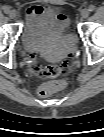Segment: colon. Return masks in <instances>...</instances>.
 <instances>
[{
    "label": "colon",
    "instance_id": "obj_1",
    "mask_svg": "<svg viewBox=\"0 0 104 137\" xmlns=\"http://www.w3.org/2000/svg\"><path fill=\"white\" fill-rule=\"evenodd\" d=\"M32 60L33 70L46 78H54L59 76L70 65L69 59H64L58 64H45L37 60L35 57H33ZM59 88L60 87L57 84H43L38 88V94L42 97H48Z\"/></svg>",
    "mask_w": 104,
    "mask_h": 137
}]
</instances>
